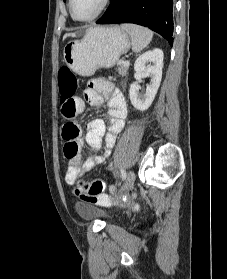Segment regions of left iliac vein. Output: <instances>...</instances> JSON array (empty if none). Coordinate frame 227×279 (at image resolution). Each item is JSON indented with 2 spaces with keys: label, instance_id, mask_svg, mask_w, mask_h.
Masks as SVG:
<instances>
[{
  "label": "left iliac vein",
  "instance_id": "4c4485c4",
  "mask_svg": "<svg viewBox=\"0 0 227 279\" xmlns=\"http://www.w3.org/2000/svg\"><path fill=\"white\" fill-rule=\"evenodd\" d=\"M134 181H135V173L134 171L130 170L127 174L126 181L122 186L119 194L122 195L123 193L128 192L132 188Z\"/></svg>",
  "mask_w": 227,
  "mask_h": 279
}]
</instances>
